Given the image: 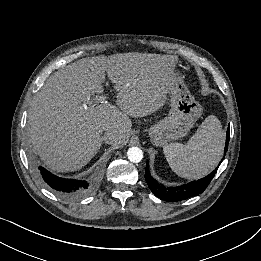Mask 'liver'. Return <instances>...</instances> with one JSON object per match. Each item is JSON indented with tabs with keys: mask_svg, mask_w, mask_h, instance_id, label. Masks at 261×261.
<instances>
[{
	"mask_svg": "<svg viewBox=\"0 0 261 261\" xmlns=\"http://www.w3.org/2000/svg\"><path fill=\"white\" fill-rule=\"evenodd\" d=\"M173 55L117 53L80 59L51 75L28 112V143L44 164L57 172L81 169L99 151L101 133L108 144L123 145L132 127L129 117L150 115L162 107L175 81ZM114 84L116 105L94 106L105 76Z\"/></svg>",
	"mask_w": 261,
	"mask_h": 261,
	"instance_id": "6515ba94",
	"label": "liver"
}]
</instances>
